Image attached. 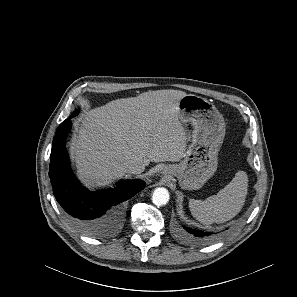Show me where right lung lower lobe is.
Here are the masks:
<instances>
[{"instance_id": "1", "label": "right lung lower lobe", "mask_w": 297, "mask_h": 297, "mask_svg": "<svg viewBox=\"0 0 297 297\" xmlns=\"http://www.w3.org/2000/svg\"><path fill=\"white\" fill-rule=\"evenodd\" d=\"M70 118L59 125L53 138L49 177L54 196L81 232L93 237L104 236L120 220L119 204L143 190L145 183L141 180L122 181L115 189L97 192L84 188L71 171L65 148L72 125Z\"/></svg>"}]
</instances>
